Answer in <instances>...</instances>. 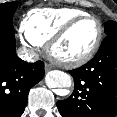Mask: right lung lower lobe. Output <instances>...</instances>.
I'll return each instance as SVG.
<instances>
[{
    "instance_id": "right-lung-lower-lobe-1",
    "label": "right lung lower lobe",
    "mask_w": 117,
    "mask_h": 117,
    "mask_svg": "<svg viewBox=\"0 0 117 117\" xmlns=\"http://www.w3.org/2000/svg\"><path fill=\"white\" fill-rule=\"evenodd\" d=\"M44 76V63H28L15 52L11 20H0V117H20L29 90Z\"/></svg>"
}]
</instances>
